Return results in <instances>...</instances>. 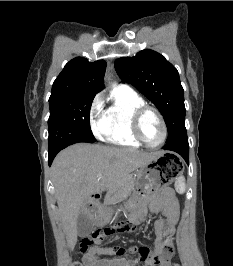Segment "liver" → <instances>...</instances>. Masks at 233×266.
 I'll list each match as a JSON object with an SVG mask.
<instances>
[{"label":"liver","mask_w":233,"mask_h":266,"mask_svg":"<svg viewBox=\"0 0 233 266\" xmlns=\"http://www.w3.org/2000/svg\"><path fill=\"white\" fill-rule=\"evenodd\" d=\"M160 153L127 147L79 143L61 151L52 164V179L68 246L77 242V218L91 195L119 186L131 172ZM101 174V177H97ZM90 216V215H89ZM93 222L96 219L90 216Z\"/></svg>","instance_id":"obj_1"}]
</instances>
